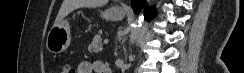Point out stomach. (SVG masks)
<instances>
[{"instance_id": "0dacf381", "label": "stomach", "mask_w": 244, "mask_h": 73, "mask_svg": "<svg viewBox=\"0 0 244 73\" xmlns=\"http://www.w3.org/2000/svg\"><path fill=\"white\" fill-rule=\"evenodd\" d=\"M103 18L111 21H120L125 16V11L112 7L101 13ZM71 43L70 25L67 20H62L60 23L53 25L50 29L47 39L46 47L49 52L59 54L65 51Z\"/></svg>"}]
</instances>
